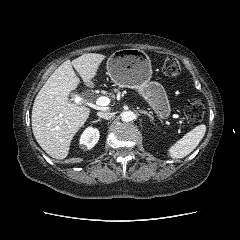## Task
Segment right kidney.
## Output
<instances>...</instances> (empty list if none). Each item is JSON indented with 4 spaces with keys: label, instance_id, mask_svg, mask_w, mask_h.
I'll use <instances>...</instances> for the list:
<instances>
[{
    "label": "right kidney",
    "instance_id": "ca27d5eb",
    "mask_svg": "<svg viewBox=\"0 0 240 240\" xmlns=\"http://www.w3.org/2000/svg\"><path fill=\"white\" fill-rule=\"evenodd\" d=\"M99 130L93 127H88L81 135L80 144L87 149L93 148L99 140Z\"/></svg>",
    "mask_w": 240,
    "mask_h": 240
}]
</instances>
